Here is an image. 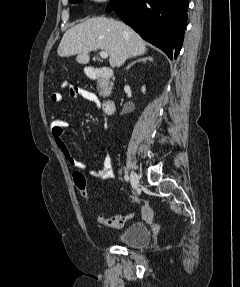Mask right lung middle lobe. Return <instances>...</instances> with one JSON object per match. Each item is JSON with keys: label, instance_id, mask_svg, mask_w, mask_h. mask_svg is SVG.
Returning <instances> with one entry per match:
<instances>
[{"label": "right lung middle lobe", "instance_id": "right-lung-middle-lobe-1", "mask_svg": "<svg viewBox=\"0 0 240 287\" xmlns=\"http://www.w3.org/2000/svg\"><path fill=\"white\" fill-rule=\"evenodd\" d=\"M70 3H78V2H82L83 0H69Z\"/></svg>", "mask_w": 240, "mask_h": 287}]
</instances>
